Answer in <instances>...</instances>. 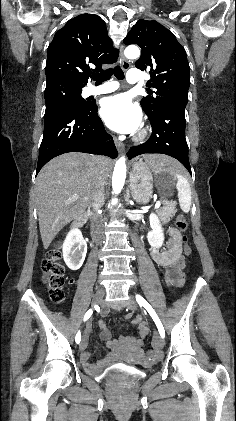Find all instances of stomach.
<instances>
[{
    "mask_svg": "<svg viewBox=\"0 0 236 421\" xmlns=\"http://www.w3.org/2000/svg\"><path fill=\"white\" fill-rule=\"evenodd\" d=\"M175 180L177 178L170 168L148 166L145 162H135L129 176L132 196L139 204L149 202L154 184L165 198L172 196L176 184Z\"/></svg>",
    "mask_w": 236,
    "mask_h": 421,
    "instance_id": "1",
    "label": "stomach"
}]
</instances>
